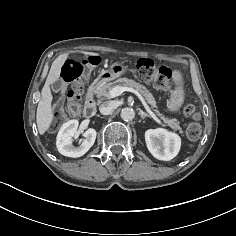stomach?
Wrapping results in <instances>:
<instances>
[{
	"mask_svg": "<svg viewBox=\"0 0 236 236\" xmlns=\"http://www.w3.org/2000/svg\"><path fill=\"white\" fill-rule=\"evenodd\" d=\"M126 71V66L121 63H114L108 69H103L100 72L99 77L104 81L113 80L124 75ZM176 78H178V74H176ZM183 101V91L180 88H177L173 91L167 102V110L170 112L178 111L181 108Z\"/></svg>",
	"mask_w": 236,
	"mask_h": 236,
	"instance_id": "1",
	"label": "stomach"
}]
</instances>
